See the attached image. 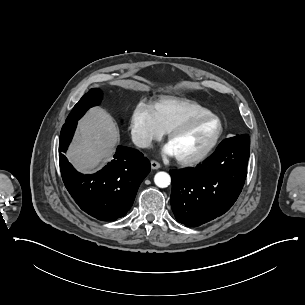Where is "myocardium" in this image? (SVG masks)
I'll return each instance as SVG.
<instances>
[{"mask_svg":"<svg viewBox=\"0 0 305 305\" xmlns=\"http://www.w3.org/2000/svg\"><path fill=\"white\" fill-rule=\"evenodd\" d=\"M211 118L217 119L220 123V130H219L217 136L215 137L214 141L207 148H205L203 151H201L197 154L190 155V156L176 155V159H177L178 163L185 165V166H189V165L199 163V162L205 160L206 158H208L219 147L222 140L224 139L225 134H226V124L220 115L211 111L207 114H203V115H199V116H195V117L186 119L183 122H181L180 124H178L177 126H175L169 132L168 143L171 145V143L180 134H182L186 129H188L190 126L203 122L207 119H211Z\"/></svg>","mask_w":305,"mask_h":305,"instance_id":"1","label":"myocardium"}]
</instances>
